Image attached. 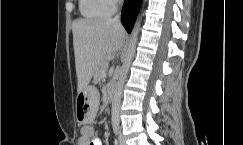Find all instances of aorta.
<instances>
[{
  "label": "aorta",
  "instance_id": "1",
  "mask_svg": "<svg viewBox=\"0 0 243 145\" xmlns=\"http://www.w3.org/2000/svg\"><path fill=\"white\" fill-rule=\"evenodd\" d=\"M139 30H140V20L138 19L134 26L132 34H131V39H130L128 50L126 53V57L123 62V65L120 69L119 78H118L116 88L114 91V95H113V99H112L111 113H112V119L115 121L119 120V111H120V106H121V97H122V93H123V87H124V83H125L131 62L135 55Z\"/></svg>",
  "mask_w": 243,
  "mask_h": 145
}]
</instances>
